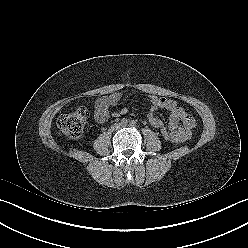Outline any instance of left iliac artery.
<instances>
[{
  "label": "left iliac artery",
  "mask_w": 248,
  "mask_h": 248,
  "mask_svg": "<svg viewBox=\"0 0 248 248\" xmlns=\"http://www.w3.org/2000/svg\"><path fill=\"white\" fill-rule=\"evenodd\" d=\"M135 124H136L135 121H131V122H130V125H131V126H134Z\"/></svg>",
  "instance_id": "44dca946"
}]
</instances>
